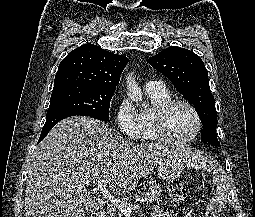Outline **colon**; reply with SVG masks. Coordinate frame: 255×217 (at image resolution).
I'll list each match as a JSON object with an SVG mask.
<instances>
[{"label": "colon", "mask_w": 255, "mask_h": 217, "mask_svg": "<svg viewBox=\"0 0 255 217\" xmlns=\"http://www.w3.org/2000/svg\"><path fill=\"white\" fill-rule=\"evenodd\" d=\"M169 198L170 201L174 204L181 203L185 200L186 191L179 181H174L170 184ZM208 206L210 207V212L214 213L219 207V201L216 198H212Z\"/></svg>", "instance_id": "colon-1"}]
</instances>
